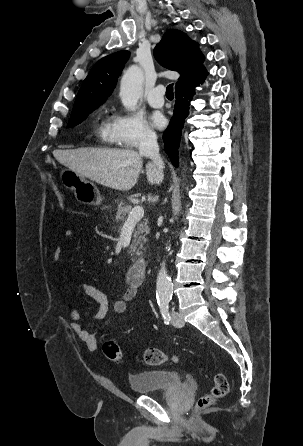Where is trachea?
I'll use <instances>...</instances> for the list:
<instances>
[{
	"mask_svg": "<svg viewBox=\"0 0 303 446\" xmlns=\"http://www.w3.org/2000/svg\"><path fill=\"white\" fill-rule=\"evenodd\" d=\"M166 96L167 97H174L173 93V84H169L166 88Z\"/></svg>",
	"mask_w": 303,
	"mask_h": 446,
	"instance_id": "1",
	"label": "trachea"
}]
</instances>
